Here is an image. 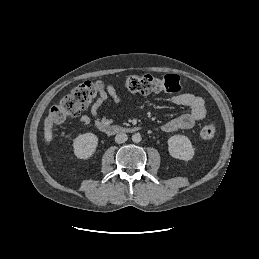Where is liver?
I'll return each mask as SVG.
<instances>
[{"instance_id":"obj_1","label":"liver","mask_w":259,"mask_h":259,"mask_svg":"<svg viewBox=\"0 0 259 259\" xmlns=\"http://www.w3.org/2000/svg\"><path fill=\"white\" fill-rule=\"evenodd\" d=\"M53 117L52 115H48L44 121V138L47 144H50L53 140Z\"/></svg>"}]
</instances>
